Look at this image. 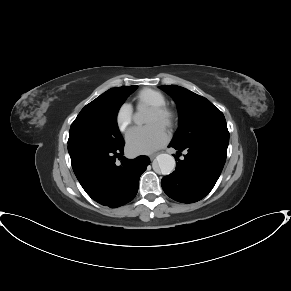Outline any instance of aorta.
<instances>
[{"label":"aorta","mask_w":291,"mask_h":291,"mask_svg":"<svg viewBox=\"0 0 291 291\" xmlns=\"http://www.w3.org/2000/svg\"><path fill=\"white\" fill-rule=\"evenodd\" d=\"M135 124L142 125L147 120V112L144 109H139L133 116ZM156 163L163 175L171 174L175 169V159L169 154H159L156 157Z\"/></svg>","instance_id":"762f6f07"}]
</instances>
